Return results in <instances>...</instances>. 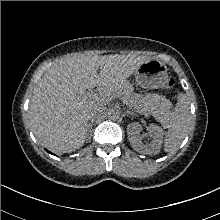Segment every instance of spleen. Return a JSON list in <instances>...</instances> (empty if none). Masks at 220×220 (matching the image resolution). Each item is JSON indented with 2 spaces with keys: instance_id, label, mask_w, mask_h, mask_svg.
<instances>
[{
  "instance_id": "3e777b00",
  "label": "spleen",
  "mask_w": 220,
  "mask_h": 220,
  "mask_svg": "<svg viewBox=\"0 0 220 220\" xmlns=\"http://www.w3.org/2000/svg\"><path fill=\"white\" fill-rule=\"evenodd\" d=\"M190 125L189 102L186 95L180 94L174 112L168 122V132L164 139V150L175 152L185 139Z\"/></svg>"
}]
</instances>
